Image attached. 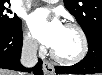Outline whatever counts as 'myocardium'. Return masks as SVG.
<instances>
[{
    "mask_svg": "<svg viewBox=\"0 0 102 75\" xmlns=\"http://www.w3.org/2000/svg\"><path fill=\"white\" fill-rule=\"evenodd\" d=\"M64 26L71 28L78 33L80 40H81L80 52L78 53V55H76L73 58H63V57L59 56L57 53H55L53 51V49L50 50V53H51L52 58L54 60H56L57 62H60L62 64H66V65H72V64H75V63L81 61L86 56V54L88 52V48H89V42H88V38H87L85 31L76 22L66 21L64 23Z\"/></svg>",
    "mask_w": 102,
    "mask_h": 75,
    "instance_id": "obj_1",
    "label": "myocardium"
}]
</instances>
